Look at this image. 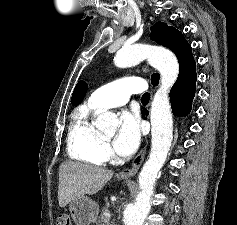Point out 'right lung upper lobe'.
Listing matches in <instances>:
<instances>
[{
    "label": "right lung upper lobe",
    "instance_id": "cb5924a9",
    "mask_svg": "<svg viewBox=\"0 0 237 225\" xmlns=\"http://www.w3.org/2000/svg\"><path fill=\"white\" fill-rule=\"evenodd\" d=\"M88 85L84 81H79L78 84L76 85L72 98H71V104H79V102L83 99L86 90H87Z\"/></svg>",
    "mask_w": 237,
    "mask_h": 225
}]
</instances>
